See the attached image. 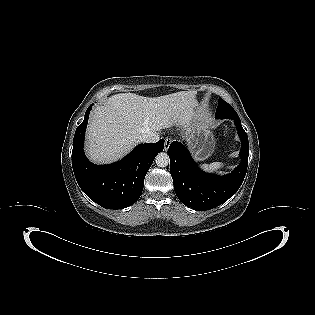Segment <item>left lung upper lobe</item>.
<instances>
[{
    "label": "left lung upper lobe",
    "mask_w": 315,
    "mask_h": 315,
    "mask_svg": "<svg viewBox=\"0 0 315 315\" xmlns=\"http://www.w3.org/2000/svg\"><path fill=\"white\" fill-rule=\"evenodd\" d=\"M215 117L218 119H238L236 111L233 107L225 102L222 98H219L218 107L216 110Z\"/></svg>",
    "instance_id": "left-lung-upper-lobe-1"
}]
</instances>
